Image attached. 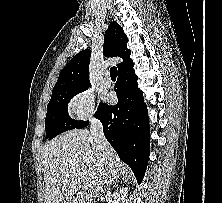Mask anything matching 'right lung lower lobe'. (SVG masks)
Masks as SVG:
<instances>
[{
	"mask_svg": "<svg viewBox=\"0 0 222 203\" xmlns=\"http://www.w3.org/2000/svg\"><path fill=\"white\" fill-rule=\"evenodd\" d=\"M137 79L133 66L118 72L115 84L117 105L100 103L94 116L102 122L108 142L141 183L149 160L150 129L146 104ZM88 124L89 121H82L75 128H84Z\"/></svg>",
	"mask_w": 222,
	"mask_h": 203,
	"instance_id": "98d812e1",
	"label": "right lung lower lobe"
}]
</instances>
